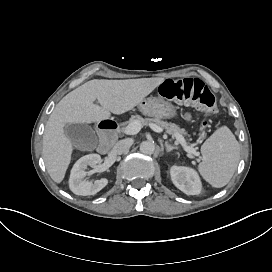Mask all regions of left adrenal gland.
I'll list each match as a JSON object with an SVG mask.
<instances>
[{"label":"left adrenal gland","mask_w":272,"mask_h":272,"mask_svg":"<svg viewBox=\"0 0 272 272\" xmlns=\"http://www.w3.org/2000/svg\"><path fill=\"white\" fill-rule=\"evenodd\" d=\"M165 146H166V151H167V152H170V151H172L173 149H178L177 146H171V145H169L167 141L165 142Z\"/></svg>","instance_id":"a2214340"}]
</instances>
